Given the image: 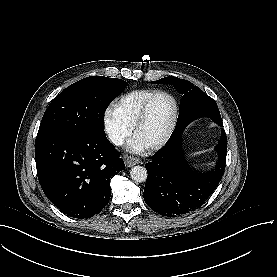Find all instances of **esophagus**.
I'll return each mask as SVG.
<instances>
[{
    "label": "esophagus",
    "instance_id": "34e87169",
    "mask_svg": "<svg viewBox=\"0 0 277 277\" xmlns=\"http://www.w3.org/2000/svg\"><path fill=\"white\" fill-rule=\"evenodd\" d=\"M139 163H141L140 159H138L137 157H132V158H130L129 161H127V166L132 167V166H134L136 164H139Z\"/></svg>",
    "mask_w": 277,
    "mask_h": 277
}]
</instances>
